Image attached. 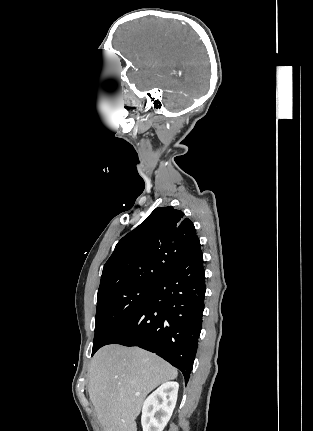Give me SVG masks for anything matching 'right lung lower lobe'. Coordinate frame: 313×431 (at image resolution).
Returning a JSON list of instances; mask_svg holds the SVG:
<instances>
[{"instance_id":"98d812e1","label":"right lung lower lobe","mask_w":313,"mask_h":431,"mask_svg":"<svg viewBox=\"0 0 313 431\" xmlns=\"http://www.w3.org/2000/svg\"><path fill=\"white\" fill-rule=\"evenodd\" d=\"M205 271L199 239L104 345L138 346L178 368L187 384L202 326Z\"/></svg>"}]
</instances>
